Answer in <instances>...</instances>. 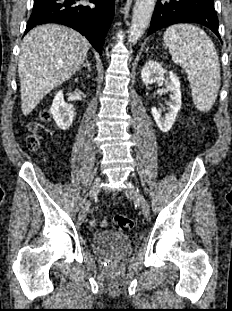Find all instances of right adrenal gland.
Listing matches in <instances>:
<instances>
[{
  "label": "right adrenal gland",
  "instance_id": "right-adrenal-gland-1",
  "mask_svg": "<svg viewBox=\"0 0 232 311\" xmlns=\"http://www.w3.org/2000/svg\"><path fill=\"white\" fill-rule=\"evenodd\" d=\"M83 67H87L89 71L91 70V65H90V63H89V61H88V56H86V61H85V63L79 68V70H80L81 68H83Z\"/></svg>",
  "mask_w": 232,
  "mask_h": 311
}]
</instances>
